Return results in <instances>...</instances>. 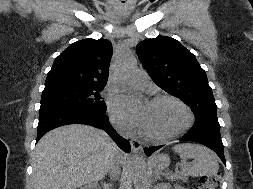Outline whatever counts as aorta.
Listing matches in <instances>:
<instances>
[{"label": "aorta", "mask_w": 253, "mask_h": 189, "mask_svg": "<svg viewBox=\"0 0 253 189\" xmlns=\"http://www.w3.org/2000/svg\"><path fill=\"white\" fill-rule=\"evenodd\" d=\"M136 68V60L135 58L129 54L124 53L119 59L116 65V75L119 78L124 77L128 73L134 71ZM147 173V166L142 154H138L135 156L133 161V177L136 181L144 180Z\"/></svg>", "instance_id": "aorta-1"}]
</instances>
